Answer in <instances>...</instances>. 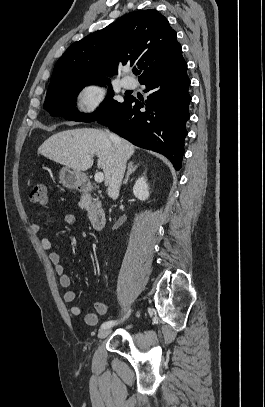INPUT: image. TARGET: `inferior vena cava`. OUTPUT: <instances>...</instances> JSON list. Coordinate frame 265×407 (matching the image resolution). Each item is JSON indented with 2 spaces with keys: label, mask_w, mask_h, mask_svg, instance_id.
Returning a JSON list of instances; mask_svg holds the SVG:
<instances>
[{
  "label": "inferior vena cava",
  "mask_w": 265,
  "mask_h": 407,
  "mask_svg": "<svg viewBox=\"0 0 265 407\" xmlns=\"http://www.w3.org/2000/svg\"><path fill=\"white\" fill-rule=\"evenodd\" d=\"M109 137L113 144L114 163L108 183L107 193L110 197H112L119 194L121 182L126 168V159L119 146V138L114 134H110Z\"/></svg>",
  "instance_id": "602c4592"
}]
</instances>
